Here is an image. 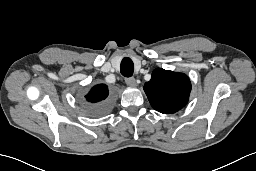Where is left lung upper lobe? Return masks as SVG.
I'll list each match as a JSON object with an SVG mask.
<instances>
[{
    "mask_svg": "<svg viewBox=\"0 0 256 171\" xmlns=\"http://www.w3.org/2000/svg\"><path fill=\"white\" fill-rule=\"evenodd\" d=\"M151 106L160 113H175L186 105L191 82L183 73L155 69L151 80L144 85Z\"/></svg>",
    "mask_w": 256,
    "mask_h": 171,
    "instance_id": "obj_1",
    "label": "left lung upper lobe"
}]
</instances>
